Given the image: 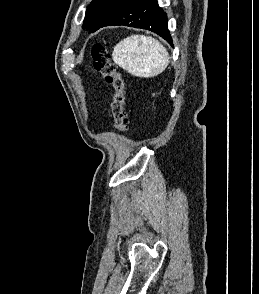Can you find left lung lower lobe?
I'll list each match as a JSON object with an SVG mask.
<instances>
[{
  "instance_id": "obj_1",
  "label": "left lung lower lobe",
  "mask_w": 259,
  "mask_h": 294,
  "mask_svg": "<svg viewBox=\"0 0 259 294\" xmlns=\"http://www.w3.org/2000/svg\"><path fill=\"white\" fill-rule=\"evenodd\" d=\"M124 25L152 31L172 45L165 12L157 0H127L116 6L100 26Z\"/></svg>"
}]
</instances>
